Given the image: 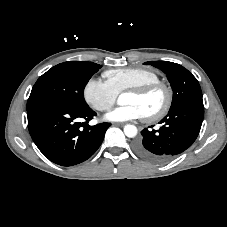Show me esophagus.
Segmentation results:
<instances>
[{
    "label": "esophagus",
    "instance_id": "esophagus-1",
    "mask_svg": "<svg viewBox=\"0 0 227 227\" xmlns=\"http://www.w3.org/2000/svg\"><path fill=\"white\" fill-rule=\"evenodd\" d=\"M114 125H116V126H124L125 124L124 123H119V122H117V123H114Z\"/></svg>",
    "mask_w": 227,
    "mask_h": 227
}]
</instances>
